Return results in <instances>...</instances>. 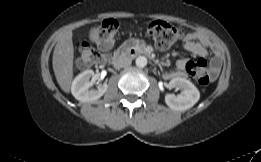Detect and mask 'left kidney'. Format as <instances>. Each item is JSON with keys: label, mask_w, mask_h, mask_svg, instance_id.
Returning <instances> with one entry per match:
<instances>
[{"label": "left kidney", "mask_w": 261, "mask_h": 162, "mask_svg": "<svg viewBox=\"0 0 261 162\" xmlns=\"http://www.w3.org/2000/svg\"><path fill=\"white\" fill-rule=\"evenodd\" d=\"M170 85L181 90L178 95H166L165 102L170 109L175 111H185L198 102L200 92L189 80L182 77H176L170 81Z\"/></svg>", "instance_id": "left-kidney-1"}]
</instances>
